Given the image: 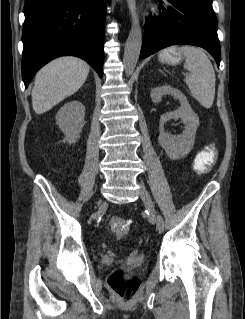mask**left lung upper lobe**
<instances>
[{"instance_id":"1","label":"left lung upper lobe","mask_w":245,"mask_h":319,"mask_svg":"<svg viewBox=\"0 0 245 319\" xmlns=\"http://www.w3.org/2000/svg\"><path fill=\"white\" fill-rule=\"evenodd\" d=\"M197 2L212 7V0H196Z\"/></svg>"}]
</instances>
